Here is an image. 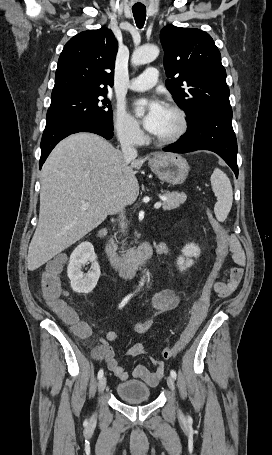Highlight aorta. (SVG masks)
I'll use <instances>...</instances> for the list:
<instances>
[{
	"instance_id": "obj_1",
	"label": "aorta",
	"mask_w": 272,
	"mask_h": 455,
	"mask_svg": "<svg viewBox=\"0 0 272 455\" xmlns=\"http://www.w3.org/2000/svg\"><path fill=\"white\" fill-rule=\"evenodd\" d=\"M159 48L156 45H145L136 49L131 58L133 65H143L154 61L159 55ZM144 112H137V116H143ZM144 280L140 282V286L143 285Z\"/></svg>"
}]
</instances>
